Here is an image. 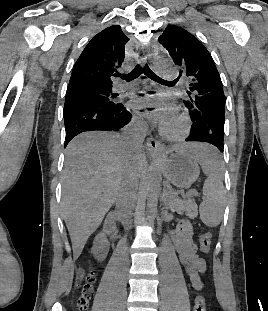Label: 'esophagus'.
<instances>
[{
	"label": "esophagus",
	"mask_w": 268,
	"mask_h": 311,
	"mask_svg": "<svg viewBox=\"0 0 268 311\" xmlns=\"http://www.w3.org/2000/svg\"><path fill=\"white\" fill-rule=\"evenodd\" d=\"M141 50L143 52V56L141 58V61L142 62H145L146 59H147V55H146V51H145V48L142 46L141 47ZM147 147L149 149V151L152 153V154H156L158 153L160 150H161V144L158 140H156L154 137L150 136L148 139H147Z\"/></svg>",
	"instance_id": "obj_1"
}]
</instances>
